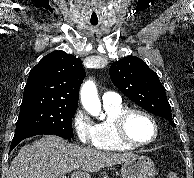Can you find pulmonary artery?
Masks as SVG:
<instances>
[{
    "mask_svg": "<svg viewBox=\"0 0 194 178\" xmlns=\"http://www.w3.org/2000/svg\"><path fill=\"white\" fill-rule=\"evenodd\" d=\"M103 103H112L120 101V97L115 92H106L102 96Z\"/></svg>",
    "mask_w": 194,
    "mask_h": 178,
    "instance_id": "pulmonary-artery-1",
    "label": "pulmonary artery"
}]
</instances>
